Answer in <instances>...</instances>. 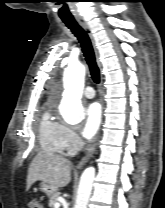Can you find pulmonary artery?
Masks as SVG:
<instances>
[{
	"instance_id": "1",
	"label": "pulmonary artery",
	"mask_w": 165,
	"mask_h": 208,
	"mask_svg": "<svg viewBox=\"0 0 165 208\" xmlns=\"http://www.w3.org/2000/svg\"><path fill=\"white\" fill-rule=\"evenodd\" d=\"M82 94L84 97L91 99V98H94L95 91L92 86H86V87H84Z\"/></svg>"
}]
</instances>
